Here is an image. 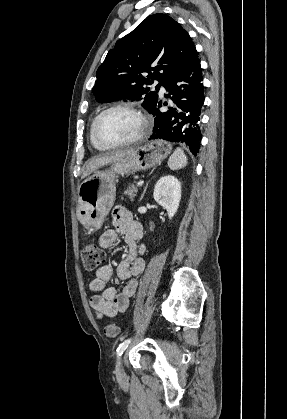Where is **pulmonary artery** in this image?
<instances>
[{
	"label": "pulmonary artery",
	"instance_id": "1",
	"mask_svg": "<svg viewBox=\"0 0 287 419\" xmlns=\"http://www.w3.org/2000/svg\"><path fill=\"white\" fill-rule=\"evenodd\" d=\"M155 84H158L157 82H155ZM166 93V90L163 86L160 87V94L164 95Z\"/></svg>",
	"mask_w": 287,
	"mask_h": 419
}]
</instances>
